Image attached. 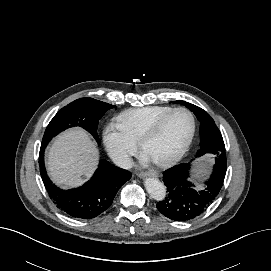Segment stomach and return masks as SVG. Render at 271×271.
<instances>
[{
	"label": "stomach",
	"mask_w": 271,
	"mask_h": 271,
	"mask_svg": "<svg viewBox=\"0 0 271 271\" xmlns=\"http://www.w3.org/2000/svg\"><path fill=\"white\" fill-rule=\"evenodd\" d=\"M206 174V169L204 167V163L199 161L195 164V176L196 178H202Z\"/></svg>",
	"instance_id": "stomach-1"
}]
</instances>
